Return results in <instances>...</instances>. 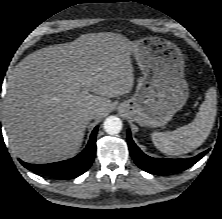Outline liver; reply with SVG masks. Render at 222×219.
Returning a JSON list of instances; mask_svg holds the SVG:
<instances>
[{
  "label": "liver",
  "mask_w": 222,
  "mask_h": 219,
  "mask_svg": "<svg viewBox=\"0 0 222 219\" xmlns=\"http://www.w3.org/2000/svg\"><path fill=\"white\" fill-rule=\"evenodd\" d=\"M134 46L120 34L89 33L21 60L8 77L4 100L12 151L36 164L73 157L90 121L110 111V98L132 90Z\"/></svg>",
  "instance_id": "1"
}]
</instances>
